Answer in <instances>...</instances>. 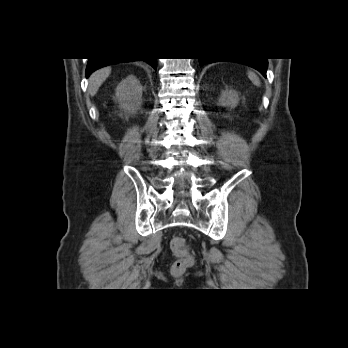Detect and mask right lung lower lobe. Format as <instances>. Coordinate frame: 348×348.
I'll use <instances>...</instances> for the list:
<instances>
[{"label": "right lung lower lobe", "mask_w": 348, "mask_h": 348, "mask_svg": "<svg viewBox=\"0 0 348 348\" xmlns=\"http://www.w3.org/2000/svg\"><path fill=\"white\" fill-rule=\"evenodd\" d=\"M128 61H133V60H116V59H109V58L89 59L88 64H87V68H86V77H89V75L92 72H94L95 70H97L101 67L115 64V63H119V62H128ZM144 61H146L148 64H150L154 69L157 68V59L156 58H148V59H144Z\"/></svg>", "instance_id": "98d812e1"}]
</instances>
